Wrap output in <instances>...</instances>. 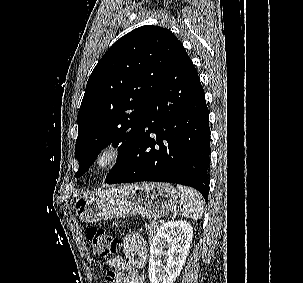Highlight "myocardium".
I'll list each match as a JSON object with an SVG mask.
<instances>
[{"label": "myocardium", "mask_w": 303, "mask_h": 283, "mask_svg": "<svg viewBox=\"0 0 303 283\" xmlns=\"http://www.w3.org/2000/svg\"><path fill=\"white\" fill-rule=\"evenodd\" d=\"M122 153V147L117 142L111 141L103 144L93 157L94 170L98 172L111 170L120 161Z\"/></svg>", "instance_id": "f54148a6"}]
</instances>
